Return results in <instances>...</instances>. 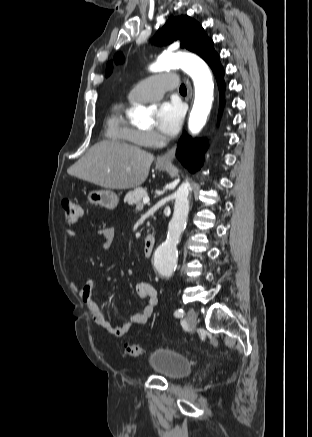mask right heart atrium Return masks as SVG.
I'll return each mask as SVG.
<instances>
[{"label":"right heart atrium","instance_id":"right-heart-atrium-1","mask_svg":"<svg viewBox=\"0 0 312 437\" xmlns=\"http://www.w3.org/2000/svg\"><path fill=\"white\" fill-rule=\"evenodd\" d=\"M142 137L145 144L153 145L158 142V135L153 131L142 132Z\"/></svg>","mask_w":312,"mask_h":437}]
</instances>
